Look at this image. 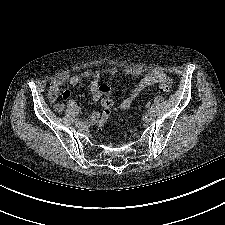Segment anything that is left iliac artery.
<instances>
[{
    "mask_svg": "<svg viewBox=\"0 0 225 225\" xmlns=\"http://www.w3.org/2000/svg\"><path fill=\"white\" fill-rule=\"evenodd\" d=\"M150 109L154 110V106H151V108H150Z\"/></svg>",
    "mask_w": 225,
    "mask_h": 225,
    "instance_id": "44dca946",
    "label": "left iliac artery"
}]
</instances>
